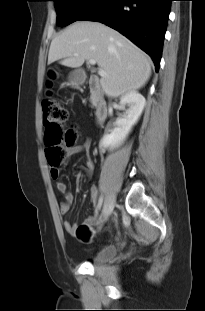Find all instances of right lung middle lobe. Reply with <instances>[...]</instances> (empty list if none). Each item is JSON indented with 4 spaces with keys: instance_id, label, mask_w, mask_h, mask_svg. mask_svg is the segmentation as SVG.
Listing matches in <instances>:
<instances>
[{
    "instance_id": "1",
    "label": "right lung middle lobe",
    "mask_w": 205,
    "mask_h": 311,
    "mask_svg": "<svg viewBox=\"0 0 205 311\" xmlns=\"http://www.w3.org/2000/svg\"><path fill=\"white\" fill-rule=\"evenodd\" d=\"M57 12L56 24L69 25L79 20L83 15L93 9L100 0H53Z\"/></svg>"
}]
</instances>
